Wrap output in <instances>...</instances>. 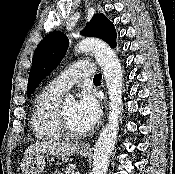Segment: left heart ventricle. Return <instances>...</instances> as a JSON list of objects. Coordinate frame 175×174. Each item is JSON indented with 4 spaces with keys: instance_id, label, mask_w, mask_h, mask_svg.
<instances>
[{
    "instance_id": "1",
    "label": "left heart ventricle",
    "mask_w": 175,
    "mask_h": 174,
    "mask_svg": "<svg viewBox=\"0 0 175 174\" xmlns=\"http://www.w3.org/2000/svg\"><path fill=\"white\" fill-rule=\"evenodd\" d=\"M64 114L70 128L77 132L86 131L76 114V103L68 102L63 105Z\"/></svg>"
}]
</instances>
